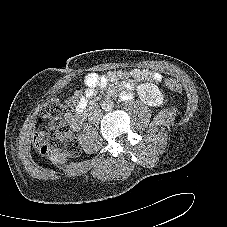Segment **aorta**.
Segmentation results:
<instances>
[{
    "label": "aorta",
    "mask_w": 227,
    "mask_h": 227,
    "mask_svg": "<svg viewBox=\"0 0 227 227\" xmlns=\"http://www.w3.org/2000/svg\"><path fill=\"white\" fill-rule=\"evenodd\" d=\"M101 106L105 111H111L114 108V102L110 99H106Z\"/></svg>",
    "instance_id": "762f6f07"
}]
</instances>
